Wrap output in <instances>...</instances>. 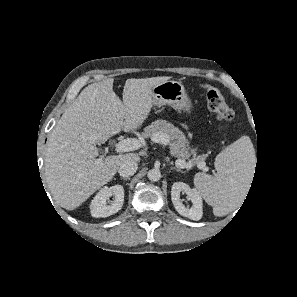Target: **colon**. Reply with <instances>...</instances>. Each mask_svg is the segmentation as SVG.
I'll return each mask as SVG.
<instances>
[{"mask_svg": "<svg viewBox=\"0 0 297 297\" xmlns=\"http://www.w3.org/2000/svg\"><path fill=\"white\" fill-rule=\"evenodd\" d=\"M207 105L219 120H230L234 116V111L225 101L224 97L214 88L207 89Z\"/></svg>", "mask_w": 297, "mask_h": 297, "instance_id": "5ec220e1", "label": "colon"}]
</instances>
